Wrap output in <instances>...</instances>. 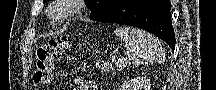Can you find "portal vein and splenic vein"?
<instances>
[{"mask_svg":"<svg viewBox=\"0 0 216 90\" xmlns=\"http://www.w3.org/2000/svg\"><path fill=\"white\" fill-rule=\"evenodd\" d=\"M115 66H117V68H122V66H125L124 62H116Z\"/></svg>","mask_w":216,"mask_h":90,"instance_id":"portal-vein-and-splenic-vein-1","label":"portal vein and splenic vein"}]
</instances>
